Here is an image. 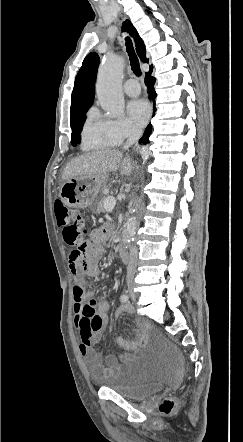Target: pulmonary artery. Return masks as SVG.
Returning <instances> with one entry per match:
<instances>
[{
  "instance_id": "obj_1",
  "label": "pulmonary artery",
  "mask_w": 243,
  "mask_h": 442,
  "mask_svg": "<svg viewBox=\"0 0 243 442\" xmlns=\"http://www.w3.org/2000/svg\"><path fill=\"white\" fill-rule=\"evenodd\" d=\"M124 92L131 96L135 97L140 93V86L138 81L135 78L128 79L123 86Z\"/></svg>"
}]
</instances>
